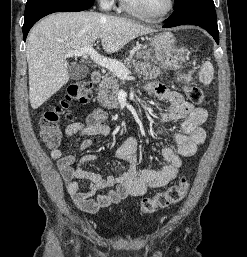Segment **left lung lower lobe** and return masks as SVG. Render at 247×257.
I'll return each mask as SVG.
<instances>
[{
  "mask_svg": "<svg viewBox=\"0 0 247 257\" xmlns=\"http://www.w3.org/2000/svg\"><path fill=\"white\" fill-rule=\"evenodd\" d=\"M184 24L204 28L219 44V32L213 0H192L175 8L163 27L170 28Z\"/></svg>",
  "mask_w": 247,
  "mask_h": 257,
  "instance_id": "0a47b994",
  "label": "left lung lower lobe"
}]
</instances>
